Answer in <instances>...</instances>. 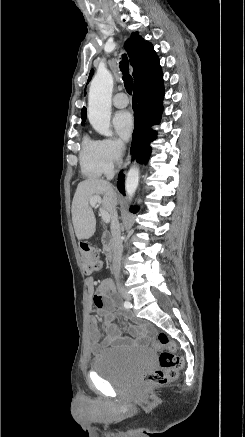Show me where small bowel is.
Instances as JSON below:
<instances>
[{
  "mask_svg": "<svg viewBox=\"0 0 245 437\" xmlns=\"http://www.w3.org/2000/svg\"><path fill=\"white\" fill-rule=\"evenodd\" d=\"M86 285L89 289H93L96 282L92 277H88L86 279ZM113 290L114 286L112 282L104 280L97 286V292L93 299L94 314L89 319V335L91 351L94 354H100L103 350L131 343V339L125 338L120 328L115 324L117 312L115 310V301L112 298ZM97 318L101 319L103 330L106 334L102 342L100 341ZM129 330L131 334L137 338H144L151 335V331L145 325L135 326Z\"/></svg>",
  "mask_w": 245,
  "mask_h": 437,
  "instance_id": "1",
  "label": "small bowel"
}]
</instances>
